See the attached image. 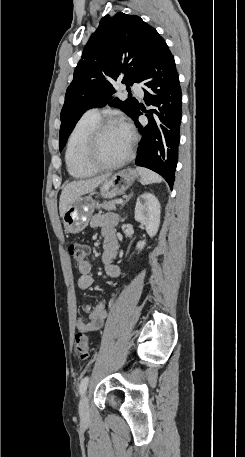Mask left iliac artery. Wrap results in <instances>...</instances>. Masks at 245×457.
Segmentation results:
<instances>
[{"instance_id":"left-iliac-artery-1","label":"left iliac artery","mask_w":245,"mask_h":457,"mask_svg":"<svg viewBox=\"0 0 245 457\" xmlns=\"http://www.w3.org/2000/svg\"><path fill=\"white\" fill-rule=\"evenodd\" d=\"M88 382H89V377L88 376H85L81 383H80V386H79V393L80 395H83L87 389V386H88Z\"/></svg>"}]
</instances>
